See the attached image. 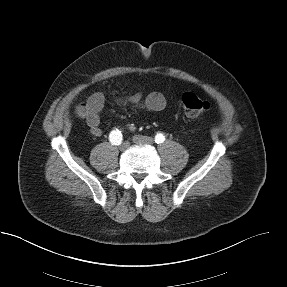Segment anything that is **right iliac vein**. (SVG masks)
I'll list each match as a JSON object with an SVG mask.
<instances>
[{
    "instance_id": "1",
    "label": "right iliac vein",
    "mask_w": 287,
    "mask_h": 287,
    "mask_svg": "<svg viewBox=\"0 0 287 287\" xmlns=\"http://www.w3.org/2000/svg\"><path fill=\"white\" fill-rule=\"evenodd\" d=\"M129 147V143L128 142H124L120 145L119 149L121 151H125L127 148Z\"/></svg>"
}]
</instances>
